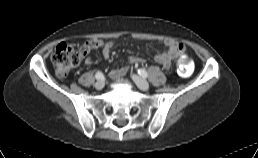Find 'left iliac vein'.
Masks as SVG:
<instances>
[{"instance_id": "4c4485c4", "label": "left iliac vein", "mask_w": 258, "mask_h": 158, "mask_svg": "<svg viewBox=\"0 0 258 158\" xmlns=\"http://www.w3.org/2000/svg\"><path fill=\"white\" fill-rule=\"evenodd\" d=\"M132 79L141 90L147 91L149 89V83L139 75H132Z\"/></svg>"}]
</instances>
